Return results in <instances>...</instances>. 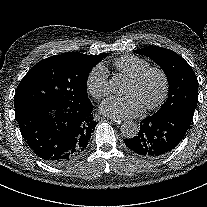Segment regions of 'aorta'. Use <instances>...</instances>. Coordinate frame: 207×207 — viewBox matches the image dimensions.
<instances>
[{
    "mask_svg": "<svg viewBox=\"0 0 207 207\" xmlns=\"http://www.w3.org/2000/svg\"><path fill=\"white\" fill-rule=\"evenodd\" d=\"M126 86V79L121 74H116L110 81L111 90L114 93H122ZM140 127L134 121H125L121 124L120 131L122 135L129 139L137 136Z\"/></svg>",
    "mask_w": 207,
    "mask_h": 207,
    "instance_id": "762f6f07",
    "label": "aorta"
}]
</instances>
